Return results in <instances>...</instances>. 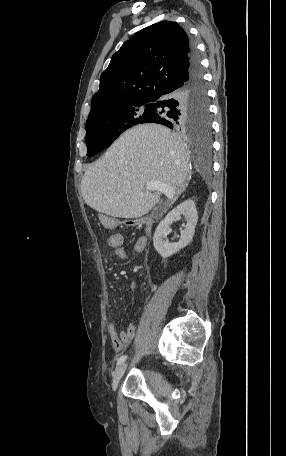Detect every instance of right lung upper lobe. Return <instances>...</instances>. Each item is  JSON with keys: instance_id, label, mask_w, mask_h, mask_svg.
<instances>
[{"instance_id": "cb5924a9", "label": "right lung upper lobe", "mask_w": 286, "mask_h": 456, "mask_svg": "<svg viewBox=\"0 0 286 456\" xmlns=\"http://www.w3.org/2000/svg\"><path fill=\"white\" fill-rule=\"evenodd\" d=\"M193 45L175 22L162 21L137 32L111 59L100 77L89 117L129 100H151L182 81Z\"/></svg>"}]
</instances>
